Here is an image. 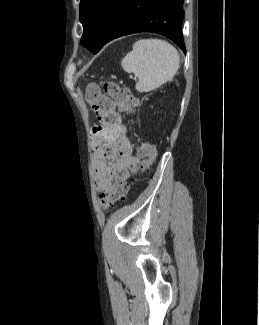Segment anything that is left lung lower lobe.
<instances>
[{
	"instance_id": "left-lung-lower-lobe-1",
	"label": "left lung lower lobe",
	"mask_w": 259,
	"mask_h": 325,
	"mask_svg": "<svg viewBox=\"0 0 259 325\" xmlns=\"http://www.w3.org/2000/svg\"><path fill=\"white\" fill-rule=\"evenodd\" d=\"M184 0H122L102 45L121 36L153 32L172 40L186 52L182 34Z\"/></svg>"
}]
</instances>
